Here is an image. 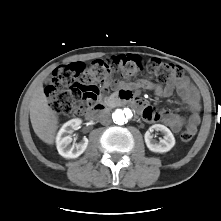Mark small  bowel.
I'll list each match as a JSON object with an SVG mask.
<instances>
[{"instance_id":"small-bowel-1","label":"small bowel","mask_w":221,"mask_h":221,"mask_svg":"<svg viewBox=\"0 0 221 221\" xmlns=\"http://www.w3.org/2000/svg\"><path fill=\"white\" fill-rule=\"evenodd\" d=\"M119 86L122 84L120 81L112 82L110 79L106 81V85ZM141 85L153 91L158 97H168L172 93L171 87H162L160 85L154 84L150 81H142ZM177 89L179 95L183 102L185 103L190 115L188 118H184L178 114H171L168 112H157L151 106H149L145 101L141 107L142 115L147 121H163L166 123L174 132H179L180 130H191L196 132L197 127L200 123V112L201 103L200 96L195 89V87L189 82L186 77L181 78L177 82Z\"/></svg>"}]
</instances>
